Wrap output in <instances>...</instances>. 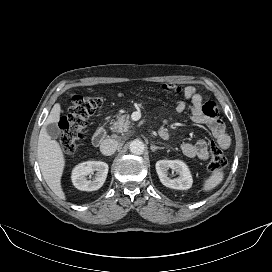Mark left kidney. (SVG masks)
I'll return each instance as SVG.
<instances>
[{
    "label": "left kidney",
    "mask_w": 272,
    "mask_h": 272,
    "mask_svg": "<svg viewBox=\"0 0 272 272\" xmlns=\"http://www.w3.org/2000/svg\"><path fill=\"white\" fill-rule=\"evenodd\" d=\"M175 171L178 178L168 176V170ZM156 172L161 183L169 188L187 190L191 188L193 179L188 166L181 160H159L156 163Z\"/></svg>",
    "instance_id": "1"
}]
</instances>
